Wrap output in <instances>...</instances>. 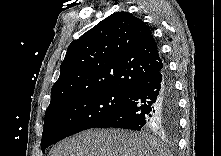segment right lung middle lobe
Returning a JSON list of instances; mask_svg holds the SVG:
<instances>
[{
  "label": "right lung middle lobe",
  "mask_w": 221,
  "mask_h": 156,
  "mask_svg": "<svg viewBox=\"0 0 221 156\" xmlns=\"http://www.w3.org/2000/svg\"><path fill=\"white\" fill-rule=\"evenodd\" d=\"M129 93L98 91L73 96L47 108L41 149H45L70 135L93 128L127 100Z\"/></svg>",
  "instance_id": "1"
}]
</instances>
